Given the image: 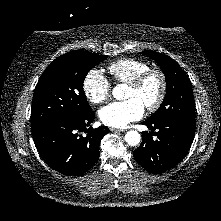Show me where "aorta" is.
Listing matches in <instances>:
<instances>
[{"instance_id": "1", "label": "aorta", "mask_w": 221, "mask_h": 221, "mask_svg": "<svg viewBox=\"0 0 221 221\" xmlns=\"http://www.w3.org/2000/svg\"><path fill=\"white\" fill-rule=\"evenodd\" d=\"M125 85L118 84L112 90V95L117 100L124 99ZM125 141L130 146H137L141 141L140 134L135 130H130L125 134Z\"/></svg>"}]
</instances>
